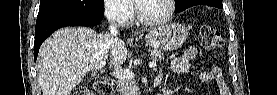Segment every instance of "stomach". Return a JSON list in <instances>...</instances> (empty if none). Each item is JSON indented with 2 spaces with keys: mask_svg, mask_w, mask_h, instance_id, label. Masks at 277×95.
I'll list each match as a JSON object with an SVG mask.
<instances>
[{
  "mask_svg": "<svg viewBox=\"0 0 277 95\" xmlns=\"http://www.w3.org/2000/svg\"><path fill=\"white\" fill-rule=\"evenodd\" d=\"M187 35L188 33L184 26L172 23L151 29L145 35V40L155 49L172 51L183 45Z\"/></svg>",
  "mask_w": 277,
  "mask_h": 95,
  "instance_id": "1",
  "label": "stomach"
}]
</instances>
